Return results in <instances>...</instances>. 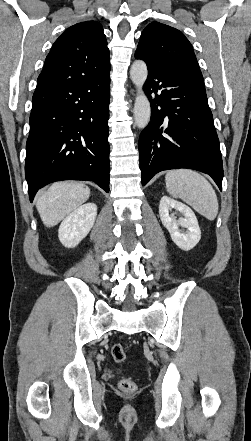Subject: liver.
Returning a JSON list of instances; mask_svg holds the SVG:
<instances>
[{
    "instance_id": "1",
    "label": "liver",
    "mask_w": 251,
    "mask_h": 441,
    "mask_svg": "<svg viewBox=\"0 0 251 441\" xmlns=\"http://www.w3.org/2000/svg\"><path fill=\"white\" fill-rule=\"evenodd\" d=\"M90 189L83 183L57 182L40 193L36 207L43 224L53 227L89 199Z\"/></svg>"
}]
</instances>
